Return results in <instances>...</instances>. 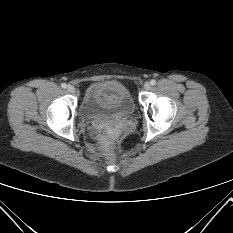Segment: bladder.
<instances>
[{
    "label": "bladder",
    "instance_id": "31cf9c89",
    "mask_svg": "<svg viewBox=\"0 0 233 233\" xmlns=\"http://www.w3.org/2000/svg\"><path fill=\"white\" fill-rule=\"evenodd\" d=\"M135 103L129 89L118 80H101L91 83L83 96L79 114L87 120L111 115L130 114Z\"/></svg>",
    "mask_w": 233,
    "mask_h": 233
}]
</instances>
